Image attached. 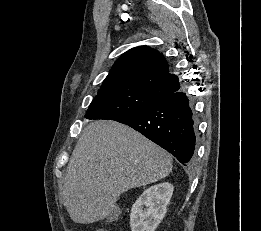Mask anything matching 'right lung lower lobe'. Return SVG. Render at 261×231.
<instances>
[{
	"label": "right lung lower lobe",
	"mask_w": 261,
	"mask_h": 231,
	"mask_svg": "<svg viewBox=\"0 0 261 231\" xmlns=\"http://www.w3.org/2000/svg\"><path fill=\"white\" fill-rule=\"evenodd\" d=\"M116 121L142 133L170 152L180 163L192 164L197 123L193 103L185 92L176 91Z\"/></svg>",
	"instance_id": "obj_1"
}]
</instances>
